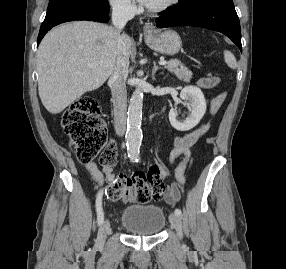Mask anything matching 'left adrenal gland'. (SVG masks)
I'll return each instance as SVG.
<instances>
[{"label":"left adrenal gland","instance_id":"1","mask_svg":"<svg viewBox=\"0 0 286 269\" xmlns=\"http://www.w3.org/2000/svg\"><path fill=\"white\" fill-rule=\"evenodd\" d=\"M162 69L161 67L157 66L156 62H153V70H152V79L155 80V73Z\"/></svg>","mask_w":286,"mask_h":269}]
</instances>
